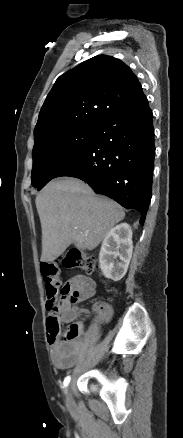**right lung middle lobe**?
Returning <instances> with one entry per match:
<instances>
[{
	"instance_id": "dd1d6c3e",
	"label": "right lung middle lobe",
	"mask_w": 183,
	"mask_h": 438,
	"mask_svg": "<svg viewBox=\"0 0 183 438\" xmlns=\"http://www.w3.org/2000/svg\"><path fill=\"white\" fill-rule=\"evenodd\" d=\"M96 126H76L48 132L35 139L32 186L43 188L91 142Z\"/></svg>"
}]
</instances>
